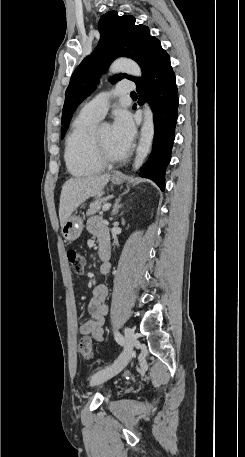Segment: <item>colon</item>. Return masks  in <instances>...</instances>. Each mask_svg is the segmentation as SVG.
<instances>
[{
	"label": "colon",
	"instance_id": "1",
	"mask_svg": "<svg viewBox=\"0 0 245 457\" xmlns=\"http://www.w3.org/2000/svg\"><path fill=\"white\" fill-rule=\"evenodd\" d=\"M67 258L72 270L76 274H81L85 265L83 254L77 250L70 249L67 251ZM78 351L84 359H89L92 356V341L89 337H83L78 344Z\"/></svg>",
	"mask_w": 245,
	"mask_h": 457
}]
</instances>
